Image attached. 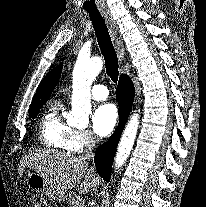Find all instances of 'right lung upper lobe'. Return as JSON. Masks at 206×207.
<instances>
[{"label":"right lung upper lobe","instance_id":"1","mask_svg":"<svg viewBox=\"0 0 206 207\" xmlns=\"http://www.w3.org/2000/svg\"><path fill=\"white\" fill-rule=\"evenodd\" d=\"M62 71V64H59L55 69L50 71L42 82L39 84L37 91L33 97L30 109L44 105L49 99L53 89L59 81Z\"/></svg>","mask_w":206,"mask_h":207}]
</instances>
